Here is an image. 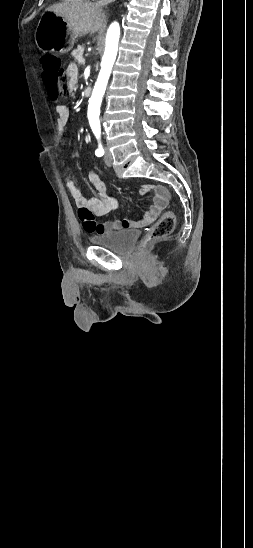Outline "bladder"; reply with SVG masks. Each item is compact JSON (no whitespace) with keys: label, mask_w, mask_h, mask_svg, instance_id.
I'll list each match as a JSON object with an SVG mask.
<instances>
[{"label":"bladder","mask_w":253,"mask_h":548,"mask_svg":"<svg viewBox=\"0 0 253 548\" xmlns=\"http://www.w3.org/2000/svg\"><path fill=\"white\" fill-rule=\"evenodd\" d=\"M138 237V230L110 231L92 236L90 242L116 253H124L132 247Z\"/></svg>","instance_id":"bladder-1"}]
</instances>
